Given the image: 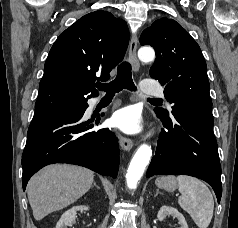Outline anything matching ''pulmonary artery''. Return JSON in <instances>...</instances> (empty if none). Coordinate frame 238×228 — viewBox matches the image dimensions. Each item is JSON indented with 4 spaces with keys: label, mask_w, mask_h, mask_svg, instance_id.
I'll return each instance as SVG.
<instances>
[{
    "label": "pulmonary artery",
    "mask_w": 238,
    "mask_h": 228,
    "mask_svg": "<svg viewBox=\"0 0 238 228\" xmlns=\"http://www.w3.org/2000/svg\"><path fill=\"white\" fill-rule=\"evenodd\" d=\"M141 89L145 95L158 96L163 94L162 87L154 79L143 80Z\"/></svg>",
    "instance_id": "e3ab8cb5"
}]
</instances>
